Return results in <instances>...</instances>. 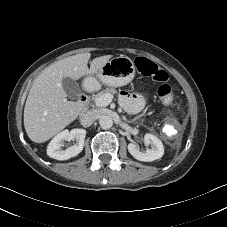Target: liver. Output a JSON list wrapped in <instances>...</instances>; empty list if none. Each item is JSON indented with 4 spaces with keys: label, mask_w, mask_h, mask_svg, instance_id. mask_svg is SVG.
<instances>
[{
    "label": "liver",
    "mask_w": 227,
    "mask_h": 227,
    "mask_svg": "<svg viewBox=\"0 0 227 227\" xmlns=\"http://www.w3.org/2000/svg\"><path fill=\"white\" fill-rule=\"evenodd\" d=\"M90 57L88 52L67 57L45 68L35 79L24 108L25 131L33 142H46L80 115L84 105L67 100L62 79L96 74L112 55L94 58L88 68Z\"/></svg>",
    "instance_id": "liver-1"
}]
</instances>
